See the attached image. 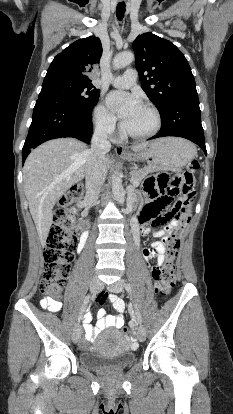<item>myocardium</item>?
<instances>
[{
	"instance_id": "obj_1",
	"label": "myocardium",
	"mask_w": 233,
	"mask_h": 414,
	"mask_svg": "<svg viewBox=\"0 0 233 414\" xmlns=\"http://www.w3.org/2000/svg\"><path fill=\"white\" fill-rule=\"evenodd\" d=\"M142 107L145 108V109H147V110H149L154 115V118H155V126L153 127V129L151 131H149L147 133L136 134V133H133V132L129 131L124 126V124H122V126H121L122 133L125 136H128V137H130L132 139H135V140H145V139H148V138L153 137L154 135H156L160 131L161 126H162V117H161V114H160L159 110L155 106L150 105V104H144Z\"/></svg>"
}]
</instances>
